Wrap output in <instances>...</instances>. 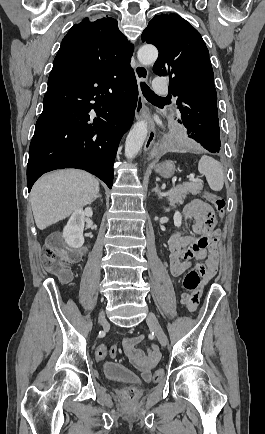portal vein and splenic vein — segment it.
I'll list each match as a JSON object with an SVG mask.
<instances>
[{
	"mask_svg": "<svg viewBox=\"0 0 265 434\" xmlns=\"http://www.w3.org/2000/svg\"><path fill=\"white\" fill-rule=\"evenodd\" d=\"M189 180H190V182H203V180H195L193 174H190Z\"/></svg>",
	"mask_w": 265,
	"mask_h": 434,
	"instance_id": "obj_1",
	"label": "portal vein and splenic vein"
}]
</instances>
